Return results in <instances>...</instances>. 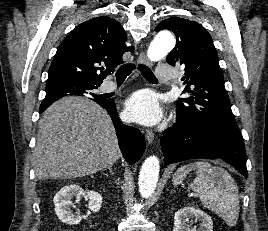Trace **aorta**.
<instances>
[{"mask_svg":"<svg viewBox=\"0 0 268 231\" xmlns=\"http://www.w3.org/2000/svg\"><path fill=\"white\" fill-rule=\"evenodd\" d=\"M176 40L169 32H160L148 47L147 56L151 61L164 58L175 46ZM160 162L156 156L146 158L139 174V192L148 198L154 192L159 178Z\"/></svg>","mask_w":268,"mask_h":231,"instance_id":"762f6f07","label":"aorta"}]
</instances>
